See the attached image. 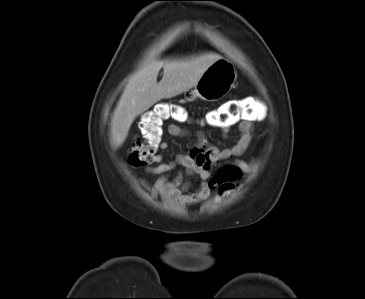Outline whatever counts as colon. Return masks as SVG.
<instances>
[{"label":"colon","mask_w":365,"mask_h":299,"mask_svg":"<svg viewBox=\"0 0 365 299\" xmlns=\"http://www.w3.org/2000/svg\"><path fill=\"white\" fill-rule=\"evenodd\" d=\"M255 115L252 101L239 100L208 112L206 121L211 126L222 128L237 121L250 119ZM188 119L187 109L178 104L159 103L144 112L139 128L145 140L137 141L132 145L128 154V164L131 167H141L154 162L163 141L165 122H186Z\"/></svg>","instance_id":"colon-1"}]
</instances>
